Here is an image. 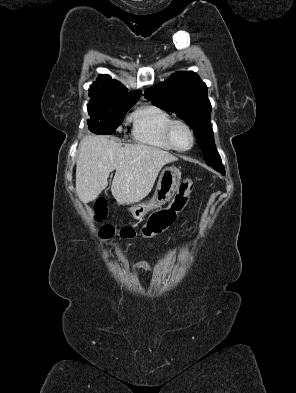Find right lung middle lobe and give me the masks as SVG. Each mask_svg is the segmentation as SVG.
I'll return each instance as SVG.
<instances>
[{"mask_svg":"<svg viewBox=\"0 0 296 393\" xmlns=\"http://www.w3.org/2000/svg\"><path fill=\"white\" fill-rule=\"evenodd\" d=\"M136 101L110 100L89 102L87 106L90 119L88 128L95 134L108 135L115 132L122 123L123 117Z\"/></svg>","mask_w":296,"mask_h":393,"instance_id":"dd1d6c3e","label":"right lung middle lobe"}]
</instances>
